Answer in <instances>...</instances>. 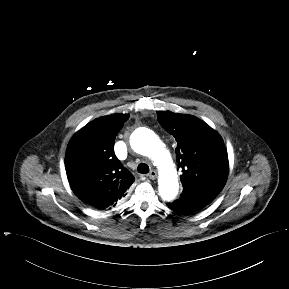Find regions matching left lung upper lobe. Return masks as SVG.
Returning a JSON list of instances; mask_svg holds the SVG:
<instances>
[{
	"label": "left lung upper lobe",
	"instance_id": "5c2ea615",
	"mask_svg": "<svg viewBox=\"0 0 289 289\" xmlns=\"http://www.w3.org/2000/svg\"><path fill=\"white\" fill-rule=\"evenodd\" d=\"M157 119L177 141L176 160L182 169L181 198L211 203L223 189L229 170L221 136L192 115L157 111Z\"/></svg>",
	"mask_w": 289,
	"mask_h": 289
}]
</instances>
